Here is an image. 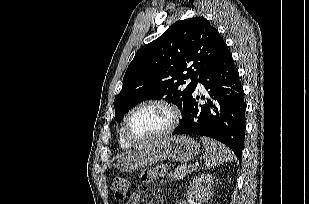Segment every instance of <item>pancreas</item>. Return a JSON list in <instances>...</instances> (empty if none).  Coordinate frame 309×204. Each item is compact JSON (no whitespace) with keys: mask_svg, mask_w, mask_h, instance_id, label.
<instances>
[{"mask_svg":"<svg viewBox=\"0 0 309 204\" xmlns=\"http://www.w3.org/2000/svg\"><path fill=\"white\" fill-rule=\"evenodd\" d=\"M196 168L189 164L187 165L182 164L180 166H178L174 171L170 172V174L168 175L169 178H171L172 180H180L183 179L186 175L191 174Z\"/></svg>","mask_w":309,"mask_h":204,"instance_id":"cf45deb5","label":"pancreas"}]
</instances>
